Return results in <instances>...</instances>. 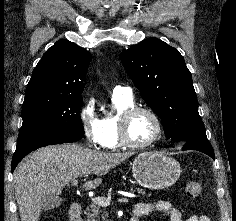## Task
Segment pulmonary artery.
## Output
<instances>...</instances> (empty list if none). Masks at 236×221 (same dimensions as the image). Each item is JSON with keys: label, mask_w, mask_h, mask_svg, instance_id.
<instances>
[{"label": "pulmonary artery", "mask_w": 236, "mask_h": 221, "mask_svg": "<svg viewBox=\"0 0 236 221\" xmlns=\"http://www.w3.org/2000/svg\"><path fill=\"white\" fill-rule=\"evenodd\" d=\"M112 95L115 97H123V98L131 99L132 98V90L129 87L116 86L113 89Z\"/></svg>", "instance_id": "obj_1"}]
</instances>
